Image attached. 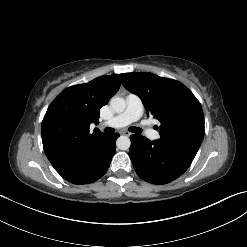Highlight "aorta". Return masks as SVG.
Returning a JSON list of instances; mask_svg holds the SVG:
<instances>
[{"mask_svg": "<svg viewBox=\"0 0 247 247\" xmlns=\"http://www.w3.org/2000/svg\"><path fill=\"white\" fill-rule=\"evenodd\" d=\"M110 106H111L113 111H115L117 113H121L126 108V101L122 97L114 96L110 100ZM116 144H117L118 149L127 150L130 148L131 141H130L129 137H127V136H120L117 139Z\"/></svg>", "mask_w": 247, "mask_h": 247, "instance_id": "762f6f07", "label": "aorta"}]
</instances>
